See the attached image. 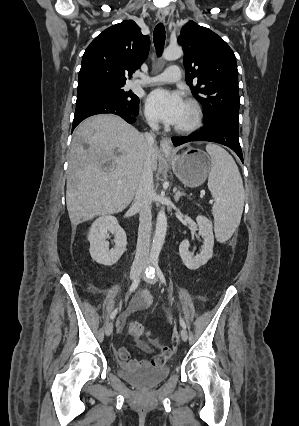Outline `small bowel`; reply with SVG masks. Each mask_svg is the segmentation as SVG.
I'll list each match as a JSON object with an SVG mask.
<instances>
[{
    "label": "small bowel",
    "instance_id": "small-bowel-1",
    "mask_svg": "<svg viewBox=\"0 0 299 426\" xmlns=\"http://www.w3.org/2000/svg\"><path fill=\"white\" fill-rule=\"evenodd\" d=\"M152 302V298L147 292L138 294L131 302L128 311L118 320V326L124 322V318L128 313L147 309ZM136 345L145 352H150V349L143 341H137ZM170 352L162 351L149 359L136 360L130 358V353L126 347H119L116 350V356L120 366L126 370H136L138 368H155L162 366L170 357Z\"/></svg>",
    "mask_w": 299,
    "mask_h": 426
}]
</instances>
